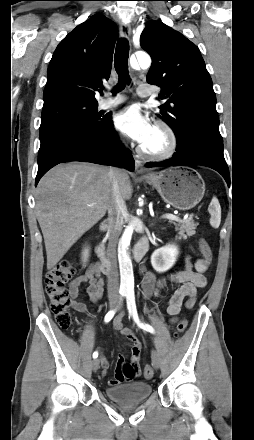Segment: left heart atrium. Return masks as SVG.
<instances>
[{
	"label": "left heart atrium",
	"instance_id": "1",
	"mask_svg": "<svg viewBox=\"0 0 254 440\" xmlns=\"http://www.w3.org/2000/svg\"><path fill=\"white\" fill-rule=\"evenodd\" d=\"M115 127L125 136L143 146L151 136L154 125L151 120L137 107L130 106L114 117Z\"/></svg>",
	"mask_w": 254,
	"mask_h": 440
}]
</instances>
